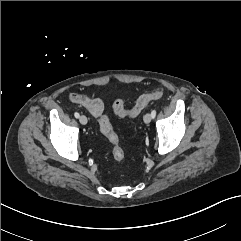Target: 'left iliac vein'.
<instances>
[{
	"instance_id": "1",
	"label": "left iliac vein",
	"mask_w": 241,
	"mask_h": 241,
	"mask_svg": "<svg viewBox=\"0 0 241 241\" xmlns=\"http://www.w3.org/2000/svg\"><path fill=\"white\" fill-rule=\"evenodd\" d=\"M143 120L146 124L150 123L152 120L151 114L150 113L145 114Z\"/></svg>"
}]
</instances>
